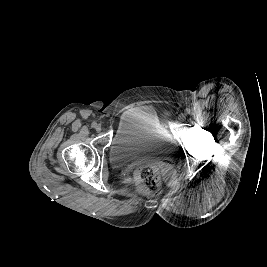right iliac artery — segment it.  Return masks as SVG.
<instances>
[{"instance_id": "82829eb1", "label": "right iliac artery", "mask_w": 267, "mask_h": 267, "mask_svg": "<svg viewBox=\"0 0 267 267\" xmlns=\"http://www.w3.org/2000/svg\"><path fill=\"white\" fill-rule=\"evenodd\" d=\"M96 125H97L96 122L92 123V127H96Z\"/></svg>"}]
</instances>
